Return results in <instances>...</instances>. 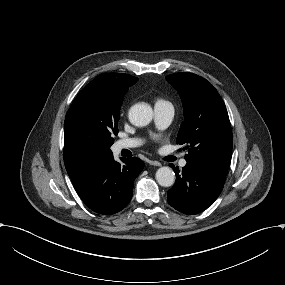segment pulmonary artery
Masks as SVG:
<instances>
[{"label": "pulmonary artery", "instance_id": "1", "mask_svg": "<svg viewBox=\"0 0 285 285\" xmlns=\"http://www.w3.org/2000/svg\"><path fill=\"white\" fill-rule=\"evenodd\" d=\"M174 109L170 102H164L155 105L156 117L159 120V125L156 127V132L158 134H163L171 124V120L174 118ZM138 144L135 139H123L117 141L113 147L112 151L114 154H119L123 149L133 148ZM180 166L185 167L187 165L186 159L180 160Z\"/></svg>", "mask_w": 285, "mask_h": 285}]
</instances>
